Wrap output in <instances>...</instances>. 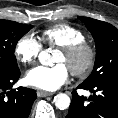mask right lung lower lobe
<instances>
[{
  "instance_id": "right-lung-lower-lobe-1",
  "label": "right lung lower lobe",
  "mask_w": 118,
  "mask_h": 118,
  "mask_svg": "<svg viewBox=\"0 0 118 118\" xmlns=\"http://www.w3.org/2000/svg\"><path fill=\"white\" fill-rule=\"evenodd\" d=\"M20 71L0 75V118H28L37 94L35 90L19 87L11 89L17 82ZM8 89H11L7 92Z\"/></svg>"
}]
</instances>
